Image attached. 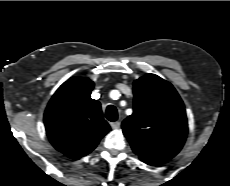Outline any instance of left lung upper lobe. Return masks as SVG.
Returning a JSON list of instances; mask_svg holds the SVG:
<instances>
[{
  "mask_svg": "<svg viewBox=\"0 0 230 186\" xmlns=\"http://www.w3.org/2000/svg\"><path fill=\"white\" fill-rule=\"evenodd\" d=\"M134 109L122 123L123 133L140 160L156 165L183 147L188 124L183 101L161 77L147 74L134 82Z\"/></svg>",
  "mask_w": 230,
  "mask_h": 186,
  "instance_id": "obj_1",
  "label": "left lung upper lobe"
}]
</instances>
